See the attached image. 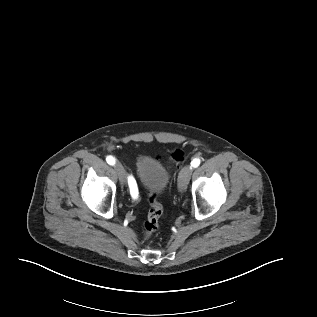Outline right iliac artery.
<instances>
[{
  "instance_id": "82829eb1",
  "label": "right iliac artery",
  "mask_w": 317,
  "mask_h": 317,
  "mask_svg": "<svg viewBox=\"0 0 317 317\" xmlns=\"http://www.w3.org/2000/svg\"><path fill=\"white\" fill-rule=\"evenodd\" d=\"M106 161L110 165L115 164V159L112 156H107ZM129 188H130V194L131 196L136 199L138 197V190L136 189V185L134 182V179H129L128 180Z\"/></svg>"
}]
</instances>
